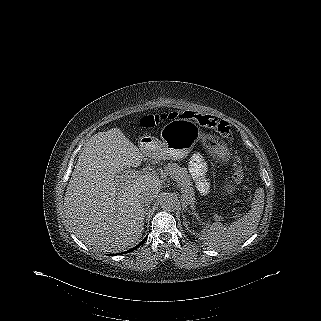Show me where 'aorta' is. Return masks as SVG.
I'll return each instance as SVG.
<instances>
[{
  "label": "aorta",
  "instance_id": "1",
  "mask_svg": "<svg viewBox=\"0 0 321 321\" xmlns=\"http://www.w3.org/2000/svg\"><path fill=\"white\" fill-rule=\"evenodd\" d=\"M179 205V199L173 194H165L160 199V206L165 211H174Z\"/></svg>",
  "mask_w": 321,
  "mask_h": 321
}]
</instances>
